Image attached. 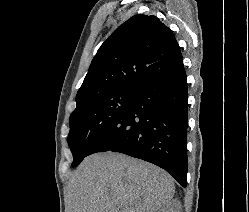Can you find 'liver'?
<instances>
[{
    "instance_id": "liver-1",
    "label": "liver",
    "mask_w": 249,
    "mask_h": 212,
    "mask_svg": "<svg viewBox=\"0 0 249 212\" xmlns=\"http://www.w3.org/2000/svg\"><path fill=\"white\" fill-rule=\"evenodd\" d=\"M173 178L143 160L106 152L87 156L71 174L67 212L172 210Z\"/></svg>"
}]
</instances>
